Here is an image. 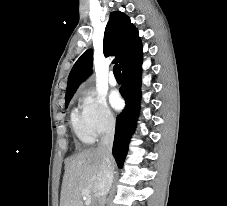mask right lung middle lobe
Wrapping results in <instances>:
<instances>
[{"label": "right lung middle lobe", "mask_w": 227, "mask_h": 206, "mask_svg": "<svg viewBox=\"0 0 227 206\" xmlns=\"http://www.w3.org/2000/svg\"><path fill=\"white\" fill-rule=\"evenodd\" d=\"M72 97H67L65 101V105H67Z\"/></svg>", "instance_id": "obj_1"}]
</instances>
